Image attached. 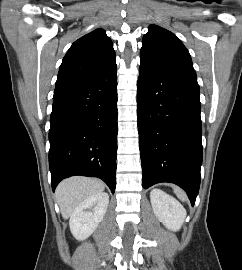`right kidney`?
Returning <instances> with one entry per match:
<instances>
[{
	"label": "right kidney",
	"instance_id": "ca27d5eb",
	"mask_svg": "<svg viewBox=\"0 0 242 270\" xmlns=\"http://www.w3.org/2000/svg\"><path fill=\"white\" fill-rule=\"evenodd\" d=\"M109 203L107 193L94 194L74 210L70 217V230L77 240L88 238L102 221Z\"/></svg>",
	"mask_w": 242,
	"mask_h": 270
}]
</instances>
